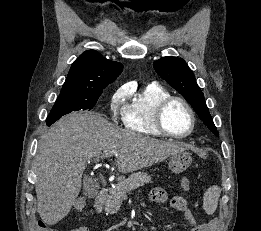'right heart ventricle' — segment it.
<instances>
[{"label": "right heart ventricle", "mask_w": 261, "mask_h": 231, "mask_svg": "<svg viewBox=\"0 0 261 231\" xmlns=\"http://www.w3.org/2000/svg\"><path fill=\"white\" fill-rule=\"evenodd\" d=\"M127 95L129 101L125 105L122 119L124 127L144 136H162L155 125V111L157 105L170 96L169 91L150 84L135 92L127 90Z\"/></svg>", "instance_id": "right-heart-ventricle-1"}]
</instances>
